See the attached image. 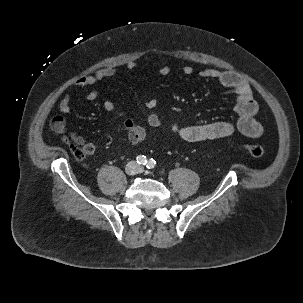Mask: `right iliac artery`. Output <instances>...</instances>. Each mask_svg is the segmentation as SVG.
I'll return each mask as SVG.
<instances>
[{"label":"right iliac artery","mask_w":303,"mask_h":303,"mask_svg":"<svg viewBox=\"0 0 303 303\" xmlns=\"http://www.w3.org/2000/svg\"><path fill=\"white\" fill-rule=\"evenodd\" d=\"M136 161L140 165H146V163H147V159H146V157L144 155L137 156L136 157Z\"/></svg>","instance_id":"right-iliac-artery-1"}]
</instances>
